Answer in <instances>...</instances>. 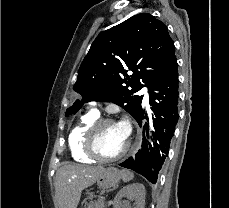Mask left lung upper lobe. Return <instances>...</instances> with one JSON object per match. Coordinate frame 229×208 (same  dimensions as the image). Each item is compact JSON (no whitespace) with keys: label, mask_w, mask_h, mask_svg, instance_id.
<instances>
[{"label":"left lung upper lobe","mask_w":229,"mask_h":208,"mask_svg":"<svg viewBox=\"0 0 229 208\" xmlns=\"http://www.w3.org/2000/svg\"><path fill=\"white\" fill-rule=\"evenodd\" d=\"M176 69L175 47L166 25L149 13L134 15L96 37L73 87L83 98L66 110V116L84 102L99 100L114 102L134 117L143 96L133 93L161 85Z\"/></svg>","instance_id":"1"}]
</instances>
